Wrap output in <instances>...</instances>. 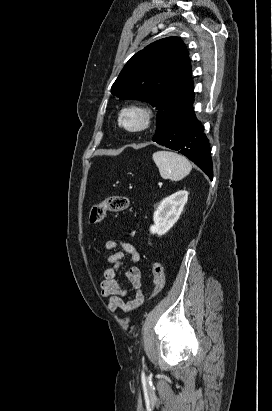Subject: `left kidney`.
Segmentation results:
<instances>
[{"label":"left kidney","mask_w":272,"mask_h":411,"mask_svg":"<svg viewBox=\"0 0 272 411\" xmlns=\"http://www.w3.org/2000/svg\"><path fill=\"white\" fill-rule=\"evenodd\" d=\"M188 200V192L178 191L163 199L153 215L154 224L150 227L152 234H166L178 221Z\"/></svg>","instance_id":"obj_1"}]
</instances>
